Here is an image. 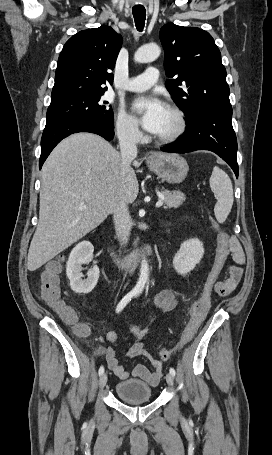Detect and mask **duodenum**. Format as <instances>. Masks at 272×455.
<instances>
[{"label": "duodenum", "mask_w": 272, "mask_h": 455, "mask_svg": "<svg viewBox=\"0 0 272 455\" xmlns=\"http://www.w3.org/2000/svg\"><path fill=\"white\" fill-rule=\"evenodd\" d=\"M151 254L150 247L146 246L139 251L129 255L126 258L118 259L114 255H110L112 258L113 263L119 267L125 273H131L139 264L140 260L144 256H148Z\"/></svg>", "instance_id": "obj_1"}]
</instances>
